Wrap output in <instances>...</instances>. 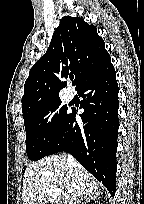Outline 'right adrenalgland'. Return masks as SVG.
<instances>
[{"label":"right adrenal gland","mask_w":144,"mask_h":204,"mask_svg":"<svg viewBox=\"0 0 144 204\" xmlns=\"http://www.w3.org/2000/svg\"><path fill=\"white\" fill-rule=\"evenodd\" d=\"M94 197L93 196H87V197H84V199H86L87 201H89L90 199H93ZM81 200H82V198H81ZM80 201H78V203H79Z\"/></svg>","instance_id":"right-adrenal-gland-1"}]
</instances>
